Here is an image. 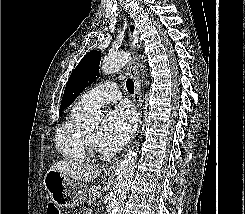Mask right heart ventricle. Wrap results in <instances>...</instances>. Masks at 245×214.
<instances>
[{
	"label": "right heart ventricle",
	"mask_w": 245,
	"mask_h": 214,
	"mask_svg": "<svg viewBox=\"0 0 245 214\" xmlns=\"http://www.w3.org/2000/svg\"><path fill=\"white\" fill-rule=\"evenodd\" d=\"M90 110L80 101L69 111L55 135V147L59 154L67 161L83 162L87 159V152L82 144L83 117Z\"/></svg>",
	"instance_id": "right-heart-ventricle-1"
}]
</instances>
